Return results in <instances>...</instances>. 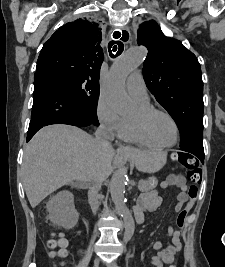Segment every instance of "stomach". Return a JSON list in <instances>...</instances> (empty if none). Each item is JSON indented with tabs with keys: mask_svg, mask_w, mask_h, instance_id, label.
<instances>
[{
	"mask_svg": "<svg viewBox=\"0 0 225 267\" xmlns=\"http://www.w3.org/2000/svg\"><path fill=\"white\" fill-rule=\"evenodd\" d=\"M166 163L165 153H151L144 158V167L147 172H156Z\"/></svg>",
	"mask_w": 225,
	"mask_h": 267,
	"instance_id": "1",
	"label": "stomach"
}]
</instances>
